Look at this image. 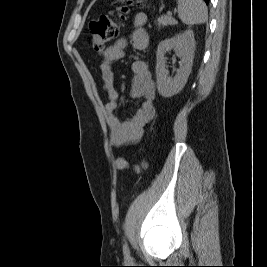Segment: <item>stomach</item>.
Instances as JSON below:
<instances>
[{
    "label": "stomach",
    "mask_w": 267,
    "mask_h": 267,
    "mask_svg": "<svg viewBox=\"0 0 267 267\" xmlns=\"http://www.w3.org/2000/svg\"><path fill=\"white\" fill-rule=\"evenodd\" d=\"M118 1L124 2V1H126V0H118Z\"/></svg>",
    "instance_id": "stomach-1"
}]
</instances>
